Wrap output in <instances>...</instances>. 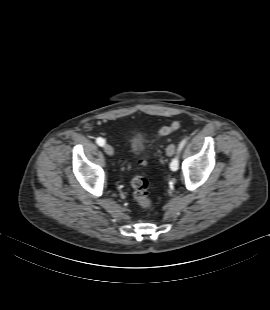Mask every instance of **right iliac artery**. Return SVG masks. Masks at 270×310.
Masks as SVG:
<instances>
[{"mask_svg": "<svg viewBox=\"0 0 270 310\" xmlns=\"http://www.w3.org/2000/svg\"><path fill=\"white\" fill-rule=\"evenodd\" d=\"M96 143L99 145V146H103L105 144V140L101 137H98L96 139Z\"/></svg>", "mask_w": 270, "mask_h": 310, "instance_id": "right-iliac-artery-1", "label": "right iliac artery"}]
</instances>
